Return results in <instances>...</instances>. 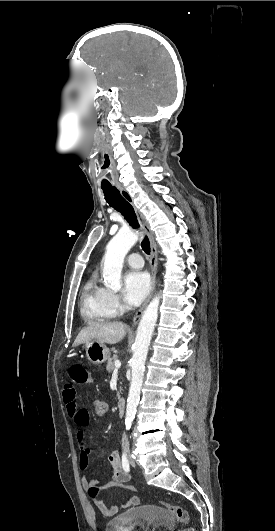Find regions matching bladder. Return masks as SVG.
Returning a JSON list of instances; mask_svg holds the SVG:
<instances>
[{
  "label": "bladder",
  "instance_id": "31cf9c89",
  "mask_svg": "<svg viewBox=\"0 0 275 531\" xmlns=\"http://www.w3.org/2000/svg\"><path fill=\"white\" fill-rule=\"evenodd\" d=\"M173 520L162 505H140L107 520L105 531H173Z\"/></svg>",
  "mask_w": 275,
  "mask_h": 531
}]
</instances>
